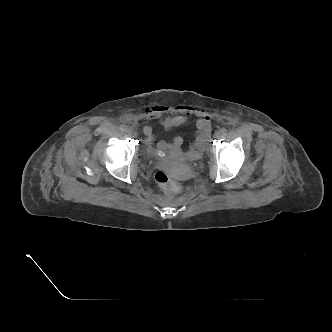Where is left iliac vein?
Returning a JSON list of instances; mask_svg holds the SVG:
<instances>
[{"mask_svg": "<svg viewBox=\"0 0 332 332\" xmlns=\"http://www.w3.org/2000/svg\"><path fill=\"white\" fill-rule=\"evenodd\" d=\"M221 135H222V133H221V131H220V130H219V131H217V132L215 133V137H217V138H219Z\"/></svg>", "mask_w": 332, "mask_h": 332, "instance_id": "4c4485c4", "label": "left iliac vein"}]
</instances>
